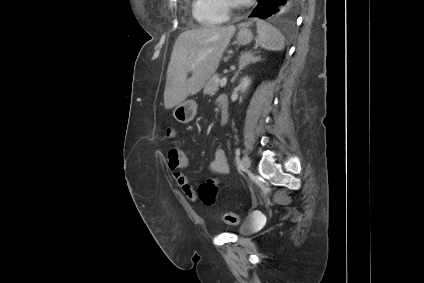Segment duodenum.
Returning a JSON list of instances; mask_svg holds the SVG:
<instances>
[{"label": "duodenum", "mask_w": 424, "mask_h": 283, "mask_svg": "<svg viewBox=\"0 0 424 283\" xmlns=\"http://www.w3.org/2000/svg\"><path fill=\"white\" fill-rule=\"evenodd\" d=\"M220 109H221V122L224 124L228 119L229 114V105L227 98L222 97L219 101Z\"/></svg>", "instance_id": "obj_1"}]
</instances>
